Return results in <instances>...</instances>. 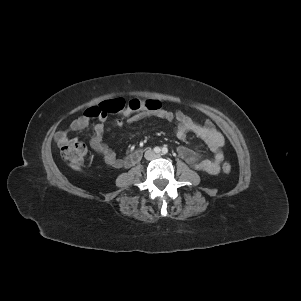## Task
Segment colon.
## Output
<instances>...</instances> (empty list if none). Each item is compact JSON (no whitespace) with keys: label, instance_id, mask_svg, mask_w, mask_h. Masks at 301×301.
Masks as SVG:
<instances>
[{"label":"colon","instance_id":"colon-1","mask_svg":"<svg viewBox=\"0 0 301 301\" xmlns=\"http://www.w3.org/2000/svg\"><path fill=\"white\" fill-rule=\"evenodd\" d=\"M161 107V103L157 100H140L137 98L126 100L123 98H116L91 107L87 109L85 113L91 118H98L100 116H105L108 113H119L124 110L158 111ZM86 153V143L79 140L65 144L61 148L63 158L74 166H79L83 163ZM221 170L223 173L228 174L231 172V165L229 163H224Z\"/></svg>","mask_w":301,"mask_h":301}]
</instances>
